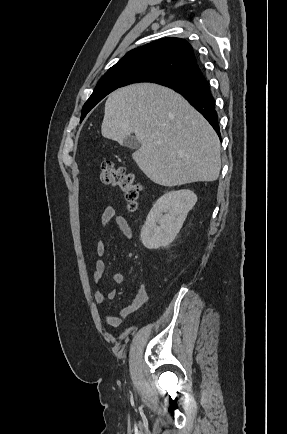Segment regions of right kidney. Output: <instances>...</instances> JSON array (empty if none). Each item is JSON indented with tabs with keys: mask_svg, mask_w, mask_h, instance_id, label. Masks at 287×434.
Masks as SVG:
<instances>
[{
	"mask_svg": "<svg viewBox=\"0 0 287 434\" xmlns=\"http://www.w3.org/2000/svg\"><path fill=\"white\" fill-rule=\"evenodd\" d=\"M196 202V194L188 189L171 191L160 197L141 229L140 239L143 245L150 250L168 246L179 233Z\"/></svg>",
	"mask_w": 287,
	"mask_h": 434,
	"instance_id": "right-kidney-1",
	"label": "right kidney"
}]
</instances>
